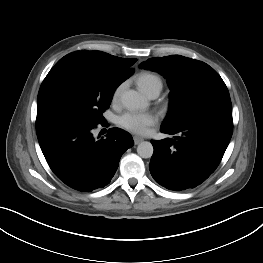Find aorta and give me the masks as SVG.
Listing matches in <instances>:
<instances>
[{
  "mask_svg": "<svg viewBox=\"0 0 263 263\" xmlns=\"http://www.w3.org/2000/svg\"><path fill=\"white\" fill-rule=\"evenodd\" d=\"M122 104L129 110H142L148 106L146 98L135 90H128L121 96ZM154 152L153 145L148 141L141 142L137 153L142 158H151Z\"/></svg>",
  "mask_w": 263,
  "mask_h": 263,
  "instance_id": "1",
  "label": "aorta"
}]
</instances>
